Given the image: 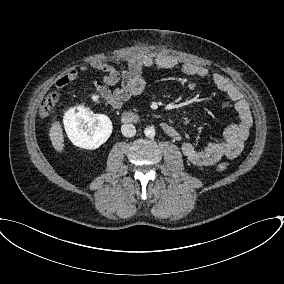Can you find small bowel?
<instances>
[{"mask_svg": "<svg viewBox=\"0 0 284 284\" xmlns=\"http://www.w3.org/2000/svg\"><path fill=\"white\" fill-rule=\"evenodd\" d=\"M178 65L179 61L176 57L163 53L134 55L128 60L127 69L122 72L106 62L93 61L89 65L68 71L57 80L56 86L61 89L74 80L80 71L91 69L101 73L100 81L93 84L94 89L109 105L119 107L123 101L143 92L145 80L142 73L145 68L172 69ZM181 69L188 76L209 78L215 88L232 101L238 117L237 122L225 128L220 141L209 143L202 149L191 142H184L181 146L184 156L188 161L199 166L213 165L224 157L235 158L239 156L253 122L249 105L241 92L226 76L210 74L206 68L195 63H184ZM118 83H121V86L113 89L112 87ZM175 139H180L179 133Z\"/></svg>", "mask_w": 284, "mask_h": 284, "instance_id": "1", "label": "small bowel"}]
</instances>
